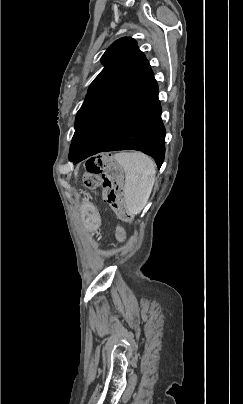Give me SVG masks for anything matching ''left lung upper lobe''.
<instances>
[{"instance_id":"1","label":"left lung upper lobe","mask_w":243,"mask_h":404,"mask_svg":"<svg viewBox=\"0 0 243 404\" xmlns=\"http://www.w3.org/2000/svg\"><path fill=\"white\" fill-rule=\"evenodd\" d=\"M101 61L104 68L91 83L76 115L69 158L80 149L100 115L153 76L145 55L129 37L115 41Z\"/></svg>"}]
</instances>
